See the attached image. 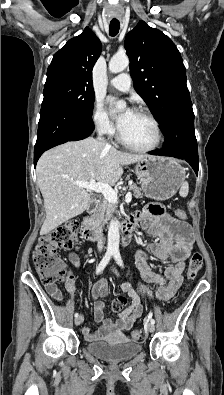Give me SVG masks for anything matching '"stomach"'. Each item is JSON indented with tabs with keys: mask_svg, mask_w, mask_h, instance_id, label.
<instances>
[{
	"mask_svg": "<svg viewBox=\"0 0 224 395\" xmlns=\"http://www.w3.org/2000/svg\"><path fill=\"white\" fill-rule=\"evenodd\" d=\"M135 174L145 196L161 201L174 196L185 179L184 168L167 157L149 156L138 161Z\"/></svg>",
	"mask_w": 224,
	"mask_h": 395,
	"instance_id": "0dacf381",
	"label": "stomach"
}]
</instances>
